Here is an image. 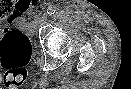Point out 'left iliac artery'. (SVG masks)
<instances>
[{
    "label": "left iliac artery",
    "instance_id": "1",
    "mask_svg": "<svg viewBox=\"0 0 131 89\" xmlns=\"http://www.w3.org/2000/svg\"><path fill=\"white\" fill-rule=\"evenodd\" d=\"M55 12H56V7H55L54 5H51V6L48 7L47 13H48L49 15H52V14H54Z\"/></svg>",
    "mask_w": 131,
    "mask_h": 89
}]
</instances>
